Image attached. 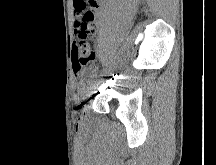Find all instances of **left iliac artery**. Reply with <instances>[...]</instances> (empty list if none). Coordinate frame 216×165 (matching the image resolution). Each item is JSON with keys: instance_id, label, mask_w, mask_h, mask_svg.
Returning a JSON list of instances; mask_svg holds the SVG:
<instances>
[{"instance_id": "44dca946", "label": "left iliac artery", "mask_w": 216, "mask_h": 165, "mask_svg": "<svg viewBox=\"0 0 216 165\" xmlns=\"http://www.w3.org/2000/svg\"><path fill=\"white\" fill-rule=\"evenodd\" d=\"M102 65H103V64L100 62V63L98 64V66H97V67L99 68L98 70H99L100 72L103 70V69L101 68Z\"/></svg>"}]
</instances>
